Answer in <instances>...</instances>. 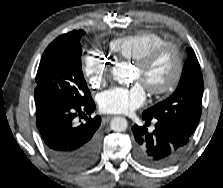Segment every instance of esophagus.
<instances>
[{"label":"esophagus","mask_w":223,"mask_h":188,"mask_svg":"<svg viewBox=\"0 0 223 188\" xmlns=\"http://www.w3.org/2000/svg\"><path fill=\"white\" fill-rule=\"evenodd\" d=\"M112 118H113L112 115H108V116L103 117V121L108 122Z\"/></svg>","instance_id":"34e87169"}]
</instances>
